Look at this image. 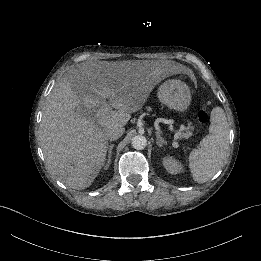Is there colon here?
I'll return each instance as SVG.
<instances>
[{"label":"colon","instance_id":"colon-1","mask_svg":"<svg viewBox=\"0 0 261 261\" xmlns=\"http://www.w3.org/2000/svg\"><path fill=\"white\" fill-rule=\"evenodd\" d=\"M205 106L204 100L196 103L194 118L198 127H202L208 121L209 113L205 110Z\"/></svg>","mask_w":261,"mask_h":261}]
</instances>
